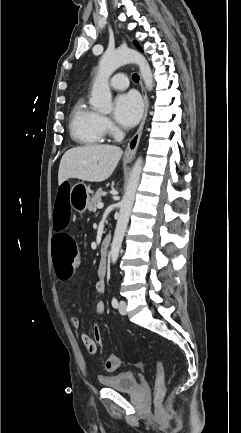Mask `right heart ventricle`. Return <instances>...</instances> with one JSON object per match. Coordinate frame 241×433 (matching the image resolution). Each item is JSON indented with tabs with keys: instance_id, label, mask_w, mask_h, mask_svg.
Wrapping results in <instances>:
<instances>
[{
	"instance_id": "e07e8e85",
	"label": "right heart ventricle",
	"mask_w": 241,
	"mask_h": 433,
	"mask_svg": "<svg viewBox=\"0 0 241 433\" xmlns=\"http://www.w3.org/2000/svg\"><path fill=\"white\" fill-rule=\"evenodd\" d=\"M70 133L73 140L81 144L93 145L105 141L106 129L102 116L84 97L79 98L72 108Z\"/></svg>"
}]
</instances>
